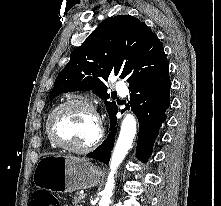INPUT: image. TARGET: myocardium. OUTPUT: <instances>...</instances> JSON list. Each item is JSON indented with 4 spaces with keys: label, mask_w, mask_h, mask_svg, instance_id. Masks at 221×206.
<instances>
[{
    "label": "myocardium",
    "mask_w": 221,
    "mask_h": 206,
    "mask_svg": "<svg viewBox=\"0 0 221 206\" xmlns=\"http://www.w3.org/2000/svg\"><path fill=\"white\" fill-rule=\"evenodd\" d=\"M72 105H79V106H83L85 108H87L94 116L96 123H97V132H96V136L94 138V140L87 146L84 147H73L69 144H66L62 141H60L53 130V120L55 118V116L62 111L63 109L72 106ZM46 128H47V134L48 137L50 139V141L58 148L75 153V154H87L90 153L92 151H94L98 145L100 144L101 140H102V136H103V125H102V121L101 118L99 116V113L95 107V105L86 100V99H82V98H73V99H68L64 102H62L61 104H59L57 107H55L52 112L49 114L48 119H47V124H46Z\"/></svg>",
    "instance_id": "f54148a6"
}]
</instances>
